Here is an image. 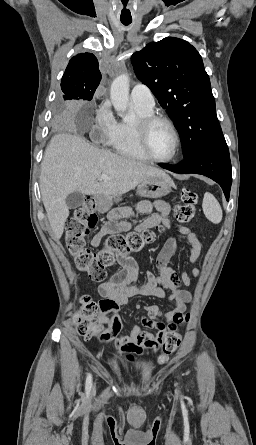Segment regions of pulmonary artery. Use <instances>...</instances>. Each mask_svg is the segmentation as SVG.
I'll list each match as a JSON object with an SVG mask.
<instances>
[{"label":"pulmonary artery","instance_id":"pulmonary-artery-1","mask_svg":"<svg viewBox=\"0 0 256 445\" xmlns=\"http://www.w3.org/2000/svg\"><path fill=\"white\" fill-rule=\"evenodd\" d=\"M130 99L133 105L145 110H152L155 105L150 89L143 84H137L132 88Z\"/></svg>","mask_w":256,"mask_h":445}]
</instances>
